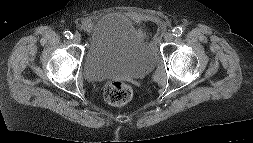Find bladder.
Wrapping results in <instances>:
<instances>
[{"label": "bladder", "mask_w": 253, "mask_h": 143, "mask_svg": "<svg viewBox=\"0 0 253 143\" xmlns=\"http://www.w3.org/2000/svg\"><path fill=\"white\" fill-rule=\"evenodd\" d=\"M147 37L122 13L98 17L88 32L84 74L89 81L141 78L155 68Z\"/></svg>", "instance_id": "1"}]
</instances>
